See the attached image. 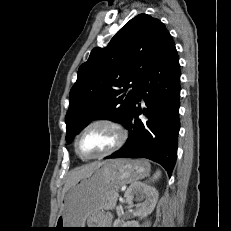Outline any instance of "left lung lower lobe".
Instances as JSON below:
<instances>
[{
    "mask_svg": "<svg viewBox=\"0 0 231 231\" xmlns=\"http://www.w3.org/2000/svg\"><path fill=\"white\" fill-rule=\"evenodd\" d=\"M180 66L170 33L141 79V89L124 126L129 137L106 158H147L161 164L169 176L177 157L179 133ZM143 99L147 108L141 110ZM144 114L147 121L138 117Z\"/></svg>",
    "mask_w": 231,
    "mask_h": 231,
    "instance_id": "0a47b994",
    "label": "left lung lower lobe"
}]
</instances>
